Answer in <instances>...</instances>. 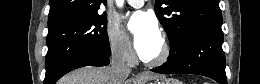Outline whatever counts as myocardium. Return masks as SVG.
<instances>
[{
	"instance_id": "obj_1",
	"label": "myocardium",
	"mask_w": 260,
	"mask_h": 84,
	"mask_svg": "<svg viewBox=\"0 0 260 84\" xmlns=\"http://www.w3.org/2000/svg\"><path fill=\"white\" fill-rule=\"evenodd\" d=\"M170 56V45L168 41L163 38L161 40V48L158 55L154 58L141 57L142 62L149 67H158L165 64Z\"/></svg>"
}]
</instances>
